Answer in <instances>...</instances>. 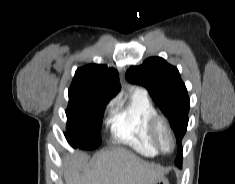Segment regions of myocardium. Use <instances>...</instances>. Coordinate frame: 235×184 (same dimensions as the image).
I'll use <instances>...</instances> for the list:
<instances>
[{"instance_id": "f54148a6", "label": "myocardium", "mask_w": 235, "mask_h": 184, "mask_svg": "<svg viewBox=\"0 0 235 184\" xmlns=\"http://www.w3.org/2000/svg\"><path fill=\"white\" fill-rule=\"evenodd\" d=\"M149 128H150L152 142L158 152L167 155V154L172 153L176 149L177 140H176L175 133L164 117L160 115L154 116L150 122ZM162 130L167 131L172 137L173 148L171 151L164 150L159 143V134Z\"/></svg>"}]
</instances>
